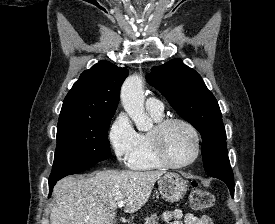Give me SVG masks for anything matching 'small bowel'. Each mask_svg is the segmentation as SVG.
I'll return each mask as SVG.
<instances>
[{"mask_svg":"<svg viewBox=\"0 0 275 224\" xmlns=\"http://www.w3.org/2000/svg\"><path fill=\"white\" fill-rule=\"evenodd\" d=\"M163 221L166 224H213L211 218L207 215L196 216L179 210L165 212Z\"/></svg>","mask_w":275,"mask_h":224,"instance_id":"1","label":"small bowel"}]
</instances>
